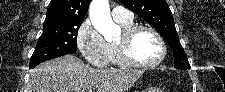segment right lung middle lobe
<instances>
[{
    "label": "right lung middle lobe",
    "mask_w": 225,
    "mask_h": 92,
    "mask_svg": "<svg viewBox=\"0 0 225 92\" xmlns=\"http://www.w3.org/2000/svg\"><path fill=\"white\" fill-rule=\"evenodd\" d=\"M83 21H71L43 26L30 64L54 59L77 50V34Z\"/></svg>",
    "instance_id": "1"
}]
</instances>
